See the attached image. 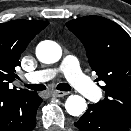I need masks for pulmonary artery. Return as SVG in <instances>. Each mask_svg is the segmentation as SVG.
<instances>
[{"instance_id": "obj_1", "label": "pulmonary artery", "mask_w": 131, "mask_h": 131, "mask_svg": "<svg viewBox=\"0 0 131 131\" xmlns=\"http://www.w3.org/2000/svg\"><path fill=\"white\" fill-rule=\"evenodd\" d=\"M61 71L70 84L83 96L96 99L100 95L99 88L80 69L78 60L73 55L66 56L59 68H49L32 72L27 79L32 83L45 82L53 79Z\"/></svg>"}]
</instances>
